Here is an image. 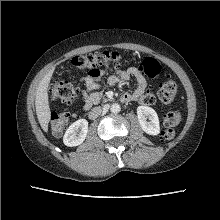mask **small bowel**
<instances>
[{
    "label": "small bowel",
    "mask_w": 220,
    "mask_h": 220,
    "mask_svg": "<svg viewBox=\"0 0 220 220\" xmlns=\"http://www.w3.org/2000/svg\"><path fill=\"white\" fill-rule=\"evenodd\" d=\"M131 76L135 77L137 87L133 94L125 93L122 95V98L129 97L130 100L143 103L142 98L145 96L147 82L137 68L131 67L127 70H119L115 74L109 76L108 72L102 69L89 73L88 76L81 78V82L84 84L81 99L82 109L85 111L89 110L92 105L99 102L101 95L98 90L100 88V82L103 79H106L109 85H115L120 81L128 80Z\"/></svg>",
    "instance_id": "c3829d8e"
}]
</instances>
